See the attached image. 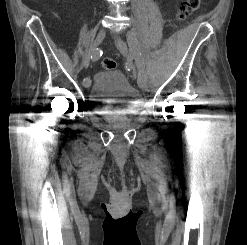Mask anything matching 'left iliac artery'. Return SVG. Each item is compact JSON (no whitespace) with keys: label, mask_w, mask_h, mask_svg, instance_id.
Instances as JSON below:
<instances>
[{"label":"left iliac artery","mask_w":247,"mask_h":245,"mask_svg":"<svg viewBox=\"0 0 247 245\" xmlns=\"http://www.w3.org/2000/svg\"><path fill=\"white\" fill-rule=\"evenodd\" d=\"M136 31H129L128 33V45L130 47V58L135 59V63L138 67V80L142 81L145 78L144 74V61L140 52L139 37H136Z\"/></svg>","instance_id":"obj_1"}]
</instances>
